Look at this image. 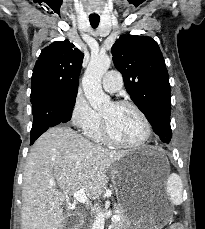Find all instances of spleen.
Listing matches in <instances>:
<instances>
[{"label": "spleen", "mask_w": 205, "mask_h": 229, "mask_svg": "<svg viewBox=\"0 0 205 229\" xmlns=\"http://www.w3.org/2000/svg\"><path fill=\"white\" fill-rule=\"evenodd\" d=\"M166 190L173 205L182 204L183 184L178 174H170L167 179Z\"/></svg>", "instance_id": "obj_1"}]
</instances>
